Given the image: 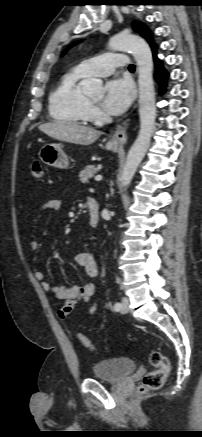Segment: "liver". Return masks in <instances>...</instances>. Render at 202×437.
<instances>
[{
	"instance_id": "liver-1",
	"label": "liver",
	"mask_w": 202,
	"mask_h": 437,
	"mask_svg": "<svg viewBox=\"0 0 202 437\" xmlns=\"http://www.w3.org/2000/svg\"><path fill=\"white\" fill-rule=\"evenodd\" d=\"M39 130L56 140L80 145H90L102 134L94 128L67 121L44 123L39 126Z\"/></svg>"
}]
</instances>
